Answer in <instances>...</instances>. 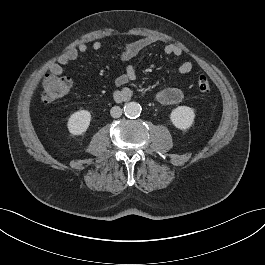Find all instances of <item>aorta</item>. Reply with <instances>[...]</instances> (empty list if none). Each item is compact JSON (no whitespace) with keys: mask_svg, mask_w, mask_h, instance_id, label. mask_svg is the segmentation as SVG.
Returning <instances> with one entry per match:
<instances>
[{"mask_svg":"<svg viewBox=\"0 0 265 265\" xmlns=\"http://www.w3.org/2000/svg\"><path fill=\"white\" fill-rule=\"evenodd\" d=\"M141 106L137 102H129L124 107L125 115L129 118H136L141 113Z\"/></svg>","mask_w":265,"mask_h":265,"instance_id":"1","label":"aorta"}]
</instances>
